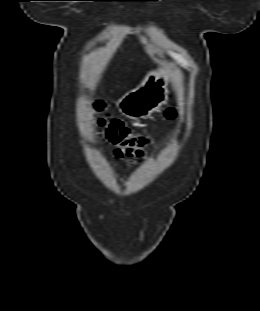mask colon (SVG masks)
Returning a JSON list of instances; mask_svg holds the SVG:
<instances>
[{
  "instance_id": "obj_1",
  "label": "colon",
  "mask_w": 260,
  "mask_h": 311,
  "mask_svg": "<svg viewBox=\"0 0 260 311\" xmlns=\"http://www.w3.org/2000/svg\"><path fill=\"white\" fill-rule=\"evenodd\" d=\"M92 107L99 124L106 129L107 140L115 147L114 152L116 156L145 157L149 144V140L146 137L133 133L119 120L111 119L105 112L103 102L94 101ZM176 116L177 110L174 106H169L165 110V117L168 120H174Z\"/></svg>"
}]
</instances>
